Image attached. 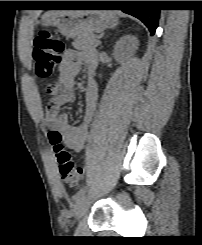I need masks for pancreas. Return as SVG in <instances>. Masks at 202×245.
Instances as JSON below:
<instances>
[{
	"instance_id": "obj_1",
	"label": "pancreas",
	"mask_w": 202,
	"mask_h": 245,
	"mask_svg": "<svg viewBox=\"0 0 202 245\" xmlns=\"http://www.w3.org/2000/svg\"><path fill=\"white\" fill-rule=\"evenodd\" d=\"M73 47L78 50H90L96 48L99 44L97 43V36L93 33H82L73 42Z\"/></svg>"
}]
</instances>
